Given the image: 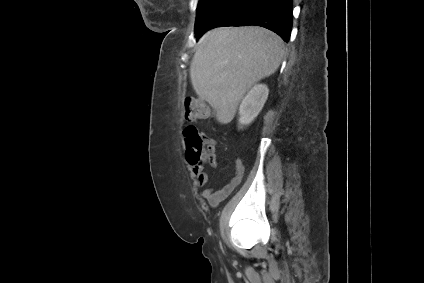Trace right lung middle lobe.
Segmentation results:
<instances>
[{
    "mask_svg": "<svg viewBox=\"0 0 424 283\" xmlns=\"http://www.w3.org/2000/svg\"><path fill=\"white\" fill-rule=\"evenodd\" d=\"M228 0H199L195 22V32L203 28L216 15Z\"/></svg>",
    "mask_w": 424,
    "mask_h": 283,
    "instance_id": "obj_1",
    "label": "right lung middle lobe"
}]
</instances>
